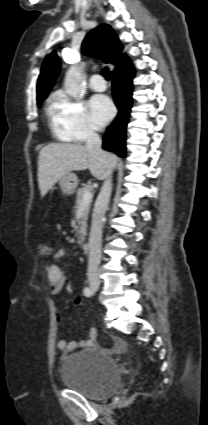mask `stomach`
Segmentation results:
<instances>
[{"label": "stomach", "mask_w": 208, "mask_h": 425, "mask_svg": "<svg viewBox=\"0 0 208 425\" xmlns=\"http://www.w3.org/2000/svg\"><path fill=\"white\" fill-rule=\"evenodd\" d=\"M59 185L64 194L71 195L76 190L78 178L76 174L68 173L59 180Z\"/></svg>", "instance_id": "0dacf381"}]
</instances>
